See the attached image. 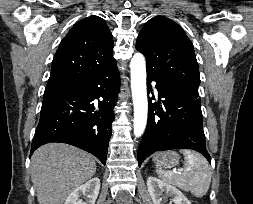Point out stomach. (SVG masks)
I'll list each match as a JSON object with an SVG mask.
<instances>
[{
    "mask_svg": "<svg viewBox=\"0 0 253 204\" xmlns=\"http://www.w3.org/2000/svg\"><path fill=\"white\" fill-rule=\"evenodd\" d=\"M179 155L175 151L160 153L154 157L156 166L161 168H171L179 164Z\"/></svg>",
    "mask_w": 253,
    "mask_h": 204,
    "instance_id": "1",
    "label": "stomach"
}]
</instances>
